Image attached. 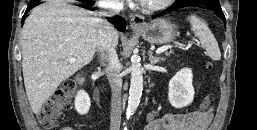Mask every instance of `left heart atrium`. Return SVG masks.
I'll return each instance as SVG.
<instances>
[{
  "instance_id": "obj_1",
  "label": "left heart atrium",
  "mask_w": 257,
  "mask_h": 130,
  "mask_svg": "<svg viewBox=\"0 0 257 130\" xmlns=\"http://www.w3.org/2000/svg\"><path fill=\"white\" fill-rule=\"evenodd\" d=\"M136 1H138V2H140V3H143V2H145V0H136Z\"/></svg>"
}]
</instances>
